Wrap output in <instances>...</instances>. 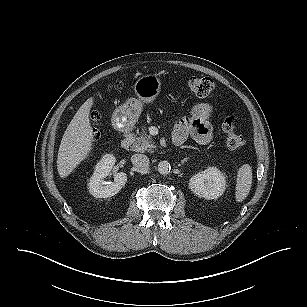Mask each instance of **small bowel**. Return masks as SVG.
<instances>
[{"label":"small bowel","mask_w":307,"mask_h":307,"mask_svg":"<svg viewBox=\"0 0 307 307\" xmlns=\"http://www.w3.org/2000/svg\"><path fill=\"white\" fill-rule=\"evenodd\" d=\"M212 112L213 109L209 104H195L191 108L190 117L183 118L176 124L173 130V141L183 144L188 138H192L199 144H208L213 137L210 123Z\"/></svg>","instance_id":"small-bowel-1"}]
</instances>
